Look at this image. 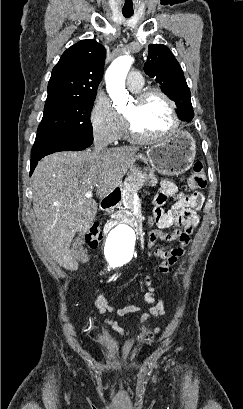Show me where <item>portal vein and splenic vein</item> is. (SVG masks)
I'll use <instances>...</instances> for the list:
<instances>
[{"mask_svg": "<svg viewBox=\"0 0 243 409\" xmlns=\"http://www.w3.org/2000/svg\"><path fill=\"white\" fill-rule=\"evenodd\" d=\"M92 196H93V194H92L91 191H89V192H87V193L85 194V197L88 198V199H91Z\"/></svg>", "mask_w": 243, "mask_h": 409, "instance_id": "portal-vein-and-splenic-vein-1", "label": "portal vein and splenic vein"}]
</instances>
